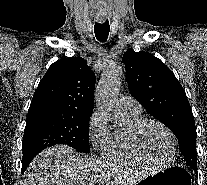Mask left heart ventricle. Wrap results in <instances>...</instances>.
Wrapping results in <instances>:
<instances>
[{"mask_svg":"<svg viewBox=\"0 0 207 185\" xmlns=\"http://www.w3.org/2000/svg\"><path fill=\"white\" fill-rule=\"evenodd\" d=\"M149 153L157 159H168L173 152V143L169 134L157 125H150L144 136Z\"/></svg>","mask_w":207,"mask_h":185,"instance_id":"obj_1","label":"left heart ventricle"}]
</instances>
